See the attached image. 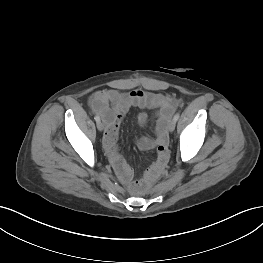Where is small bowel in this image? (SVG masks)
Listing matches in <instances>:
<instances>
[{
	"mask_svg": "<svg viewBox=\"0 0 263 263\" xmlns=\"http://www.w3.org/2000/svg\"><path fill=\"white\" fill-rule=\"evenodd\" d=\"M90 105L105 123L103 136L105 151L117 175L127 185L131 184L133 171L121 155L117 144L123 116L132 107L156 111L157 122L154 137H142L138 145L142 150L157 148V159L149 168L148 175L158 173L168 158L166 128L169 117L176 109L177 102L162 94L141 89L127 92L107 89L95 92L90 98ZM138 121L141 125H145L148 122V114L141 112L138 115Z\"/></svg>",
	"mask_w": 263,
	"mask_h": 263,
	"instance_id": "obj_1",
	"label": "small bowel"
}]
</instances>
